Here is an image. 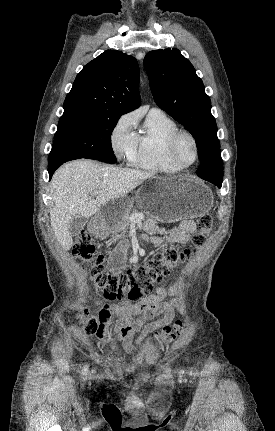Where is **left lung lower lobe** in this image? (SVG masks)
<instances>
[{"label": "left lung lower lobe", "mask_w": 275, "mask_h": 431, "mask_svg": "<svg viewBox=\"0 0 275 431\" xmlns=\"http://www.w3.org/2000/svg\"><path fill=\"white\" fill-rule=\"evenodd\" d=\"M199 177H201L202 179L207 180V181L215 184L219 188L222 185V177H218L216 174H212V175L211 174L210 175L206 174V175H202V176H199Z\"/></svg>", "instance_id": "obj_1"}]
</instances>
